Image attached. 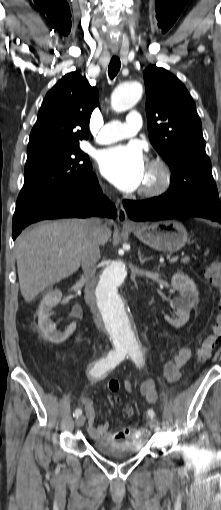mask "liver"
I'll use <instances>...</instances> for the list:
<instances>
[{
  "label": "liver",
  "instance_id": "1",
  "mask_svg": "<svg viewBox=\"0 0 221 510\" xmlns=\"http://www.w3.org/2000/svg\"><path fill=\"white\" fill-rule=\"evenodd\" d=\"M87 230L85 219L42 222L22 232L15 242L20 291L31 302L44 289L75 273L79 248ZM111 230L105 227L99 244L105 245Z\"/></svg>",
  "mask_w": 221,
  "mask_h": 510
}]
</instances>
